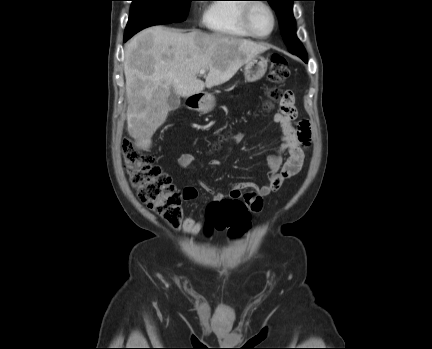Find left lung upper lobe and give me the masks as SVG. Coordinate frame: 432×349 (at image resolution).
Wrapping results in <instances>:
<instances>
[{"label": "left lung upper lobe", "mask_w": 432, "mask_h": 349, "mask_svg": "<svg viewBox=\"0 0 432 349\" xmlns=\"http://www.w3.org/2000/svg\"><path fill=\"white\" fill-rule=\"evenodd\" d=\"M276 11L280 22V30L288 50L301 58H307V53L295 33V19L293 16V1L295 0H266Z\"/></svg>", "instance_id": "left-lung-upper-lobe-1"}]
</instances>
